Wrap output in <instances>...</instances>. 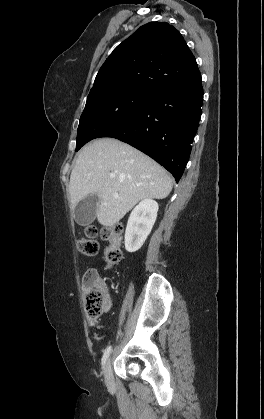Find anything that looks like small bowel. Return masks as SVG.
<instances>
[{"label": "small bowel", "instance_id": "c3829d8e", "mask_svg": "<svg viewBox=\"0 0 264 419\" xmlns=\"http://www.w3.org/2000/svg\"><path fill=\"white\" fill-rule=\"evenodd\" d=\"M94 271V270H93ZM110 309V300L108 299L107 300V303H106V305H105V308H104V310L105 311H108ZM93 338L95 339V340H100L101 338L99 337V336H97V335H94L93 336Z\"/></svg>", "mask_w": 264, "mask_h": 419}]
</instances>
